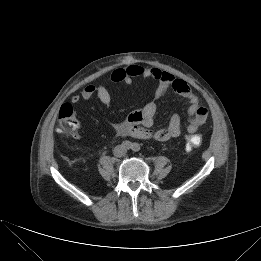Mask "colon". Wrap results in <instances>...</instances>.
Masks as SVG:
<instances>
[{"mask_svg": "<svg viewBox=\"0 0 261 261\" xmlns=\"http://www.w3.org/2000/svg\"><path fill=\"white\" fill-rule=\"evenodd\" d=\"M79 126L78 119L70 104H63L58 113L59 133L72 134ZM202 144V137L199 134H189L185 138V147L188 151L198 148Z\"/></svg>", "mask_w": 261, "mask_h": 261, "instance_id": "obj_1", "label": "colon"}]
</instances>
